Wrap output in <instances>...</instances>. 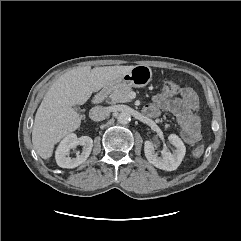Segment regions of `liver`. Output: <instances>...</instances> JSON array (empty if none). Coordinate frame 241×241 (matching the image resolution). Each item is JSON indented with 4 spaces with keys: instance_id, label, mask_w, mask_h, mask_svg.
Wrapping results in <instances>:
<instances>
[{
    "instance_id": "6515ba94",
    "label": "liver",
    "mask_w": 241,
    "mask_h": 241,
    "mask_svg": "<svg viewBox=\"0 0 241 241\" xmlns=\"http://www.w3.org/2000/svg\"><path fill=\"white\" fill-rule=\"evenodd\" d=\"M134 66L73 68L58 77L44 96L35 115L32 143L37 154L48 160L54 145L81 125L75 105H83L93 92L128 73Z\"/></svg>"
}]
</instances>
